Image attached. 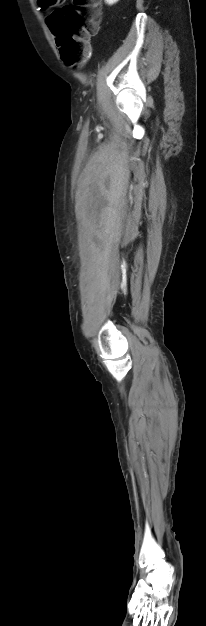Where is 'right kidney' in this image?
Instances as JSON below:
<instances>
[{
    "mask_svg": "<svg viewBox=\"0 0 206 626\" xmlns=\"http://www.w3.org/2000/svg\"><path fill=\"white\" fill-rule=\"evenodd\" d=\"M118 1H119V0H105V2H106L108 5H113V4H115L116 2H118Z\"/></svg>",
    "mask_w": 206,
    "mask_h": 626,
    "instance_id": "obj_1",
    "label": "right kidney"
}]
</instances>
